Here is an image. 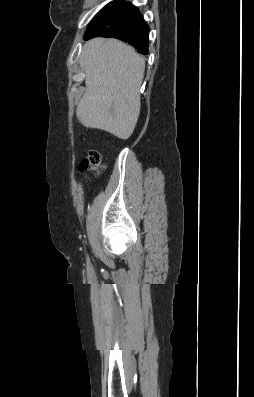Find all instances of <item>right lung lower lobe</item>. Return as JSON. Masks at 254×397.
Instances as JSON below:
<instances>
[{
    "mask_svg": "<svg viewBox=\"0 0 254 397\" xmlns=\"http://www.w3.org/2000/svg\"><path fill=\"white\" fill-rule=\"evenodd\" d=\"M148 25L138 8L121 0L107 4L90 22L84 40L112 37L128 42L148 54Z\"/></svg>",
    "mask_w": 254,
    "mask_h": 397,
    "instance_id": "1",
    "label": "right lung lower lobe"
}]
</instances>
